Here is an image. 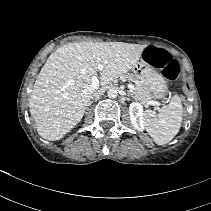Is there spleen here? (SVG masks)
Here are the masks:
<instances>
[{
  "mask_svg": "<svg viewBox=\"0 0 211 211\" xmlns=\"http://www.w3.org/2000/svg\"><path fill=\"white\" fill-rule=\"evenodd\" d=\"M182 116L181 99L178 95H174L170 103L163 106L158 113L147 110L144 114V124L154 142L157 145H164L179 132Z\"/></svg>",
  "mask_w": 211,
  "mask_h": 211,
  "instance_id": "3e777b00",
  "label": "spleen"
}]
</instances>
